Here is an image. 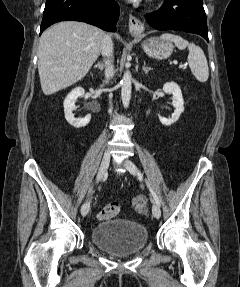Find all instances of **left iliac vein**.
<instances>
[{
	"instance_id": "left-iliac-vein-1",
	"label": "left iliac vein",
	"mask_w": 240,
	"mask_h": 287,
	"mask_svg": "<svg viewBox=\"0 0 240 287\" xmlns=\"http://www.w3.org/2000/svg\"><path fill=\"white\" fill-rule=\"evenodd\" d=\"M123 165L128 169V171L132 174V175H137V168L135 166V164L129 160V159H126L124 162H123ZM152 213H153V216L157 219L160 218L161 216V210H160V207L159 205H157L156 203L153 204L152 206Z\"/></svg>"
}]
</instances>
